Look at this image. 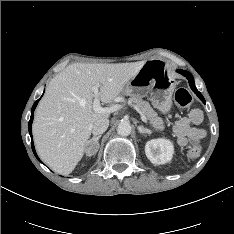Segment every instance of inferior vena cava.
<instances>
[{
    "mask_svg": "<svg viewBox=\"0 0 234 234\" xmlns=\"http://www.w3.org/2000/svg\"><path fill=\"white\" fill-rule=\"evenodd\" d=\"M108 126L109 120L107 118L99 119L92 125V133L95 136L100 135L107 130Z\"/></svg>",
    "mask_w": 234,
    "mask_h": 234,
    "instance_id": "1",
    "label": "inferior vena cava"
}]
</instances>
